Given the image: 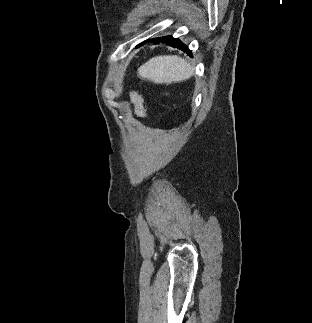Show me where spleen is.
Here are the masks:
<instances>
[{
  "mask_svg": "<svg viewBox=\"0 0 312 323\" xmlns=\"http://www.w3.org/2000/svg\"><path fill=\"white\" fill-rule=\"evenodd\" d=\"M138 74L154 84H172L191 78L193 68L179 56H156L140 66Z\"/></svg>",
  "mask_w": 312,
  "mask_h": 323,
  "instance_id": "3e777b00",
  "label": "spleen"
}]
</instances>
